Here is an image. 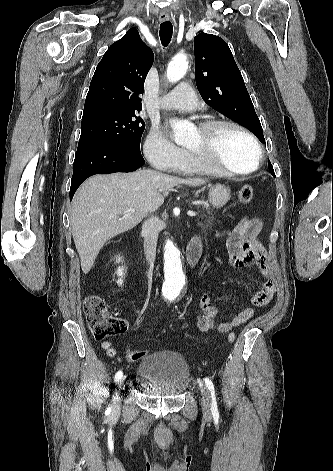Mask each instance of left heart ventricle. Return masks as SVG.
I'll list each match as a JSON object with an SVG mask.
<instances>
[{
	"instance_id": "left-heart-ventricle-1",
	"label": "left heart ventricle",
	"mask_w": 333,
	"mask_h": 471,
	"mask_svg": "<svg viewBox=\"0 0 333 471\" xmlns=\"http://www.w3.org/2000/svg\"><path fill=\"white\" fill-rule=\"evenodd\" d=\"M185 146L198 151L203 148V136L197 130L189 136ZM213 159L233 170L244 171L254 167L256 151L251 141L236 129L223 127L211 137Z\"/></svg>"
}]
</instances>
